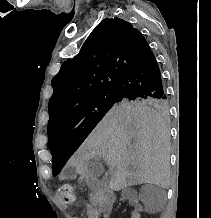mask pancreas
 <instances>
[{
    "label": "pancreas",
    "instance_id": "obj_1",
    "mask_svg": "<svg viewBox=\"0 0 211 218\" xmlns=\"http://www.w3.org/2000/svg\"><path fill=\"white\" fill-rule=\"evenodd\" d=\"M97 194H98V195H101V196H100V199H101V200L98 201V204H99V205H108V204H110V202H111L110 199H105V196H104V195L106 194V191H105V190H98V191H97ZM104 199H105V200H104ZM96 204H97V202H94V200H93L92 206H96Z\"/></svg>",
    "mask_w": 211,
    "mask_h": 218
}]
</instances>
